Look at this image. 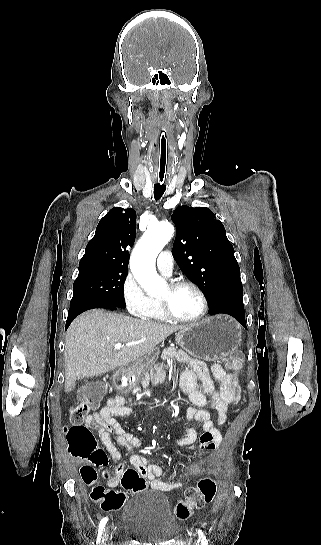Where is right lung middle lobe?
<instances>
[{"instance_id": "1", "label": "right lung middle lobe", "mask_w": 321, "mask_h": 545, "mask_svg": "<svg viewBox=\"0 0 321 545\" xmlns=\"http://www.w3.org/2000/svg\"><path fill=\"white\" fill-rule=\"evenodd\" d=\"M128 269L87 267L79 269L70 307L82 302L125 304L123 285Z\"/></svg>"}]
</instances>
